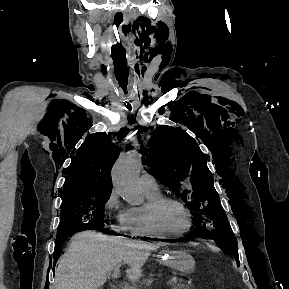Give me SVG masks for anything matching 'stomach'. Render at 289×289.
<instances>
[{"label": "stomach", "mask_w": 289, "mask_h": 289, "mask_svg": "<svg viewBox=\"0 0 289 289\" xmlns=\"http://www.w3.org/2000/svg\"><path fill=\"white\" fill-rule=\"evenodd\" d=\"M163 262L182 274H190L195 268L193 256L185 250H174L166 252Z\"/></svg>", "instance_id": "0dacf381"}]
</instances>
